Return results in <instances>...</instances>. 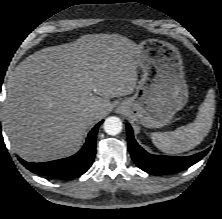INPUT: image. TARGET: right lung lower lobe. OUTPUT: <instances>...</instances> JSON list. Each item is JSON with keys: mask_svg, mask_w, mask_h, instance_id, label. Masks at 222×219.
<instances>
[{"mask_svg": "<svg viewBox=\"0 0 222 219\" xmlns=\"http://www.w3.org/2000/svg\"><path fill=\"white\" fill-rule=\"evenodd\" d=\"M99 122L88 134L86 143L75 155L44 163H29L21 158L19 161L31 172L55 179L76 178L84 174L92 165L96 154V134Z\"/></svg>", "mask_w": 222, "mask_h": 219, "instance_id": "1", "label": "right lung lower lobe"}]
</instances>
